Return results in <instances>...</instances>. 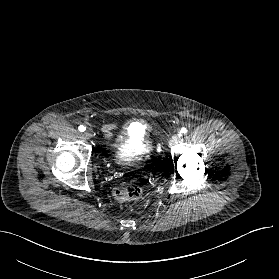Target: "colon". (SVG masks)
<instances>
[{
  "label": "colon",
  "instance_id": "1",
  "mask_svg": "<svg viewBox=\"0 0 279 279\" xmlns=\"http://www.w3.org/2000/svg\"><path fill=\"white\" fill-rule=\"evenodd\" d=\"M113 195L119 202L136 201L142 196V189L134 183H123L114 188Z\"/></svg>",
  "mask_w": 279,
  "mask_h": 279
}]
</instances>
